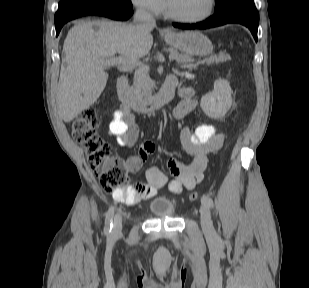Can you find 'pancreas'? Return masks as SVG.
I'll use <instances>...</instances> for the list:
<instances>
[{
	"mask_svg": "<svg viewBox=\"0 0 309 288\" xmlns=\"http://www.w3.org/2000/svg\"><path fill=\"white\" fill-rule=\"evenodd\" d=\"M170 57L175 59L179 63H187L190 61V57L186 54L178 53L175 49H169ZM230 59V55L226 53H220L219 55H212L201 61L198 64H219L224 63ZM154 83L148 75V69L140 68L135 72L133 85L131 90L134 97L140 101L144 98L151 96Z\"/></svg>",
	"mask_w": 309,
	"mask_h": 288,
	"instance_id": "cf45deb5",
	"label": "pancreas"
}]
</instances>
